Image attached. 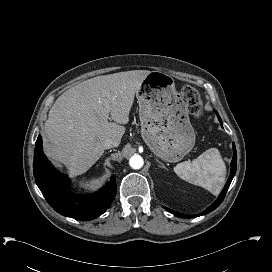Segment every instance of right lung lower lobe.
<instances>
[{
    "mask_svg": "<svg viewBox=\"0 0 272 272\" xmlns=\"http://www.w3.org/2000/svg\"><path fill=\"white\" fill-rule=\"evenodd\" d=\"M34 177L46 201L61 215L79 220H92L104 213L115 198V176L94 195L79 196L68 191L69 179L53 169L42 150V138L38 136L34 151Z\"/></svg>",
    "mask_w": 272,
    "mask_h": 272,
    "instance_id": "obj_1",
    "label": "right lung lower lobe"
}]
</instances>
